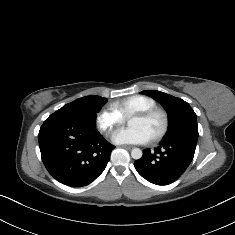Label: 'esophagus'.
Wrapping results in <instances>:
<instances>
[{
	"label": "esophagus",
	"mask_w": 235,
	"mask_h": 235,
	"mask_svg": "<svg viewBox=\"0 0 235 235\" xmlns=\"http://www.w3.org/2000/svg\"><path fill=\"white\" fill-rule=\"evenodd\" d=\"M120 147H121V148H125V149H127V150H131V149L133 148V146H131V145H125V144L120 145Z\"/></svg>",
	"instance_id": "34e87169"
}]
</instances>
